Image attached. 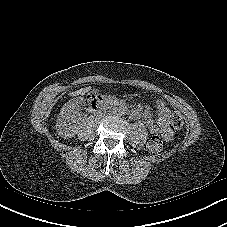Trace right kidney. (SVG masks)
Returning <instances> with one entry per match:
<instances>
[{"label": "right kidney", "mask_w": 227, "mask_h": 227, "mask_svg": "<svg viewBox=\"0 0 227 227\" xmlns=\"http://www.w3.org/2000/svg\"><path fill=\"white\" fill-rule=\"evenodd\" d=\"M74 108L75 100L65 104L58 117L59 127L61 126L62 128H66L68 126V123L70 122V120H72V113L74 114Z\"/></svg>", "instance_id": "right-kidney-1"}]
</instances>
